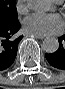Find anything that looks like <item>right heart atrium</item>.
<instances>
[{
  "label": "right heart atrium",
  "instance_id": "1",
  "mask_svg": "<svg viewBox=\"0 0 65 89\" xmlns=\"http://www.w3.org/2000/svg\"><path fill=\"white\" fill-rule=\"evenodd\" d=\"M30 8V3L27 0H19L17 10L19 13H26Z\"/></svg>",
  "mask_w": 65,
  "mask_h": 89
}]
</instances>
